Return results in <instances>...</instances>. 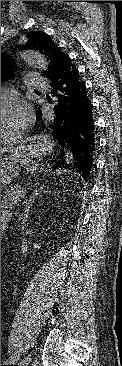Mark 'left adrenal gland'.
Segmentation results:
<instances>
[{
  "label": "left adrenal gland",
  "instance_id": "1",
  "mask_svg": "<svg viewBox=\"0 0 122 366\" xmlns=\"http://www.w3.org/2000/svg\"><path fill=\"white\" fill-rule=\"evenodd\" d=\"M33 194H34V193H33ZM31 200H32V196H30V200H28V202H29V201H31ZM26 203H27V202H26Z\"/></svg>",
  "mask_w": 122,
  "mask_h": 366
}]
</instances>
